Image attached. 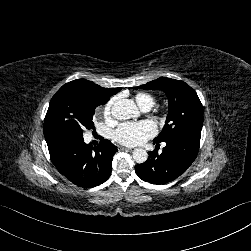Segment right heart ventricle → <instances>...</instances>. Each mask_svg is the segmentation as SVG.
I'll return each mask as SVG.
<instances>
[{"instance_id":"e07e8e85","label":"right heart ventricle","mask_w":251,"mask_h":251,"mask_svg":"<svg viewBox=\"0 0 251 251\" xmlns=\"http://www.w3.org/2000/svg\"><path fill=\"white\" fill-rule=\"evenodd\" d=\"M134 99L137 105L142 109H150L155 104V98L145 92H138L135 94Z\"/></svg>"}]
</instances>
